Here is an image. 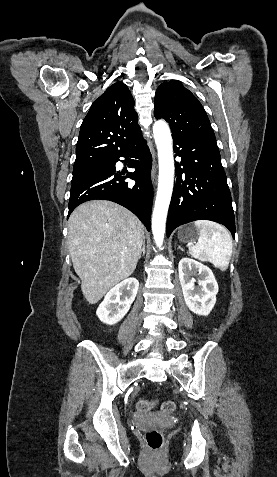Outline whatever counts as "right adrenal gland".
<instances>
[{
    "instance_id": "2a0ac1e0",
    "label": "right adrenal gland",
    "mask_w": 277,
    "mask_h": 477,
    "mask_svg": "<svg viewBox=\"0 0 277 477\" xmlns=\"http://www.w3.org/2000/svg\"><path fill=\"white\" fill-rule=\"evenodd\" d=\"M141 254L145 255V239H143V247H142L141 253L139 255V259L141 258Z\"/></svg>"
}]
</instances>
